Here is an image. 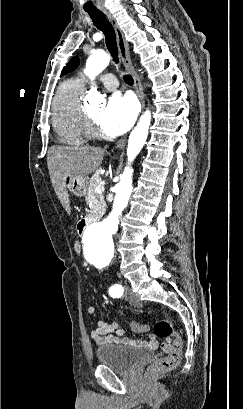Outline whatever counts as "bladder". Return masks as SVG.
Instances as JSON below:
<instances>
[{"instance_id": "obj_1", "label": "bladder", "mask_w": 243, "mask_h": 409, "mask_svg": "<svg viewBox=\"0 0 243 409\" xmlns=\"http://www.w3.org/2000/svg\"><path fill=\"white\" fill-rule=\"evenodd\" d=\"M100 364L117 372H129L140 362L150 358L152 351L122 344H107L96 351Z\"/></svg>"}]
</instances>
